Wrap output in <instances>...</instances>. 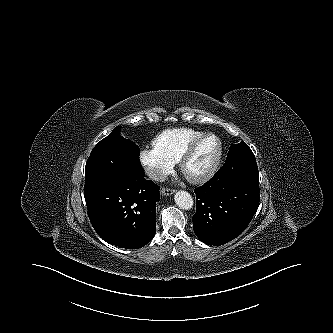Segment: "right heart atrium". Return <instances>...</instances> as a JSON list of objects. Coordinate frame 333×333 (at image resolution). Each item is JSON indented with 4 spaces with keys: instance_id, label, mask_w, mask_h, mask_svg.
I'll list each match as a JSON object with an SVG mask.
<instances>
[{
    "instance_id": "d8ad5b80",
    "label": "right heart atrium",
    "mask_w": 333,
    "mask_h": 333,
    "mask_svg": "<svg viewBox=\"0 0 333 333\" xmlns=\"http://www.w3.org/2000/svg\"><path fill=\"white\" fill-rule=\"evenodd\" d=\"M140 162L149 177L155 181L163 180L170 174L175 163L168 157L158 153L154 149H144L140 152Z\"/></svg>"
}]
</instances>
